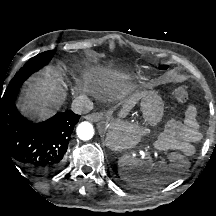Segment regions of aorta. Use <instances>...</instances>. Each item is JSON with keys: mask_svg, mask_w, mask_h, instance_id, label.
<instances>
[{"mask_svg": "<svg viewBox=\"0 0 216 216\" xmlns=\"http://www.w3.org/2000/svg\"><path fill=\"white\" fill-rule=\"evenodd\" d=\"M77 135L81 140H90L94 135V128L89 122H82L77 127Z\"/></svg>", "mask_w": 216, "mask_h": 216, "instance_id": "obj_1", "label": "aorta"}]
</instances>
